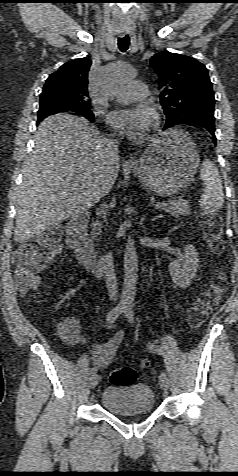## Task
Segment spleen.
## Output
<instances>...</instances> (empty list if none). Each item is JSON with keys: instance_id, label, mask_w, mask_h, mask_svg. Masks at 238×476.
Wrapping results in <instances>:
<instances>
[{"instance_id": "spleen-1", "label": "spleen", "mask_w": 238, "mask_h": 476, "mask_svg": "<svg viewBox=\"0 0 238 476\" xmlns=\"http://www.w3.org/2000/svg\"><path fill=\"white\" fill-rule=\"evenodd\" d=\"M200 177L203 180V193L200 204L209 212H215L224 204L222 180L214 162L204 160L200 168Z\"/></svg>"}]
</instances>
